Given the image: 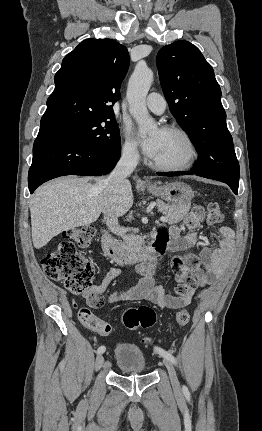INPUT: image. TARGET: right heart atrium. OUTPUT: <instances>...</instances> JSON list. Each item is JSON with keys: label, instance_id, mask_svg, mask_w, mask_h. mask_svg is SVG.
<instances>
[{"label": "right heart atrium", "instance_id": "d8ad5b80", "mask_svg": "<svg viewBox=\"0 0 262 431\" xmlns=\"http://www.w3.org/2000/svg\"><path fill=\"white\" fill-rule=\"evenodd\" d=\"M122 154L131 160L138 158L139 151L138 146L135 140L131 137V134L128 129H125L124 132V142L122 145Z\"/></svg>", "mask_w": 262, "mask_h": 431}]
</instances>
